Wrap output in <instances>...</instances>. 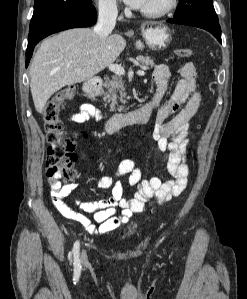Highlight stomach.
<instances>
[{"instance_id":"stomach-1","label":"stomach","mask_w":247,"mask_h":299,"mask_svg":"<svg viewBox=\"0 0 247 299\" xmlns=\"http://www.w3.org/2000/svg\"><path fill=\"white\" fill-rule=\"evenodd\" d=\"M141 31L145 44L151 50L166 49L172 40L171 30L163 23H144L141 27ZM136 45L139 49L144 48V43H142L140 40Z\"/></svg>"}]
</instances>
